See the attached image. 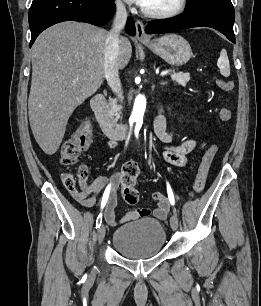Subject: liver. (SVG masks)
Returning <instances> with one entry per match:
<instances>
[{
  "label": "liver",
  "mask_w": 261,
  "mask_h": 306,
  "mask_svg": "<svg viewBox=\"0 0 261 306\" xmlns=\"http://www.w3.org/2000/svg\"><path fill=\"white\" fill-rule=\"evenodd\" d=\"M108 32L87 23L66 21L43 31L32 47L29 122L40 148L53 155L69 117L104 80ZM130 41L120 37L118 65L129 63Z\"/></svg>",
  "instance_id": "6515ba94"
}]
</instances>
